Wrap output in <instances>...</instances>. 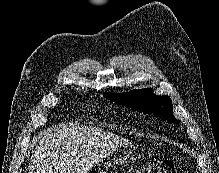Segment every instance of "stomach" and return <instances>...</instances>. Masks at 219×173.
<instances>
[{
  "label": "stomach",
  "mask_w": 219,
  "mask_h": 173,
  "mask_svg": "<svg viewBox=\"0 0 219 173\" xmlns=\"http://www.w3.org/2000/svg\"><path fill=\"white\" fill-rule=\"evenodd\" d=\"M129 156H127V155H125V156H121V157H119V158H117L114 162H113V166H114V168L116 167V166H125V165H127L128 164V162L130 161V160H132V158H130Z\"/></svg>",
  "instance_id": "0dacf381"
}]
</instances>
